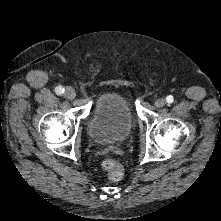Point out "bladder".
<instances>
[{
  "label": "bladder",
  "instance_id": "1",
  "mask_svg": "<svg viewBox=\"0 0 221 221\" xmlns=\"http://www.w3.org/2000/svg\"><path fill=\"white\" fill-rule=\"evenodd\" d=\"M133 124L128 101L121 94L110 92L97 100L88 121V131L97 143L115 144L129 137Z\"/></svg>",
  "mask_w": 221,
  "mask_h": 221
}]
</instances>
